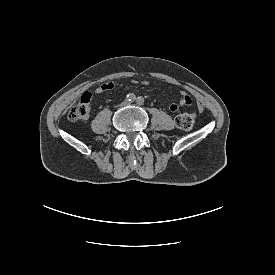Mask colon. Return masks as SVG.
Wrapping results in <instances>:
<instances>
[{"label":"colon","instance_id":"colon-1","mask_svg":"<svg viewBox=\"0 0 275 275\" xmlns=\"http://www.w3.org/2000/svg\"><path fill=\"white\" fill-rule=\"evenodd\" d=\"M92 94L84 92L77 104L73 105L69 110L67 117L70 121H79L85 119L90 110V102ZM196 122V115L193 112H186L178 115L175 119L177 127L189 131L194 127Z\"/></svg>","mask_w":275,"mask_h":275}]
</instances>
